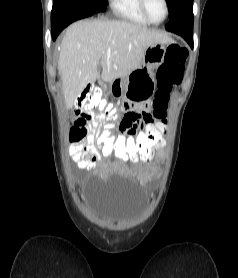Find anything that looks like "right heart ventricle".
Here are the masks:
<instances>
[{"mask_svg": "<svg viewBox=\"0 0 238 278\" xmlns=\"http://www.w3.org/2000/svg\"><path fill=\"white\" fill-rule=\"evenodd\" d=\"M111 7L113 12L121 18L143 25L150 23L140 9L139 0H111Z\"/></svg>", "mask_w": 238, "mask_h": 278, "instance_id": "e07e8e85", "label": "right heart ventricle"}]
</instances>
